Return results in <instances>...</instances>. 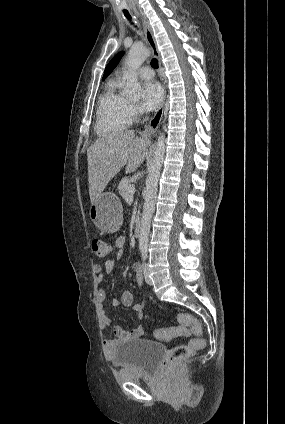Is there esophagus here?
<instances>
[{
	"label": "esophagus",
	"instance_id": "obj_1",
	"mask_svg": "<svg viewBox=\"0 0 285 424\" xmlns=\"http://www.w3.org/2000/svg\"><path fill=\"white\" fill-rule=\"evenodd\" d=\"M135 14L142 22V25H143V28H144V31H145V35H146L147 43L149 44V46L152 50L153 56L158 60L159 69H160V78H161L162 86H163V103H162V106L154 114V116L151 118L148 125L145 126V129L142 132V135H144V136H151L152 134H154L157 131V129H158L160 123H161L162 117H163L164 103H165V98H166V86H165L163 76L161 74L162 65H161L160 53H159V50H158V47H157L156 40H155L154 35L152 33L151 27L148 24V22L143 17L140 16V14L138 12H136Z\"/></svg>",
	"mask_w": 285,
	"mask_h": 424
}]
</instances>
